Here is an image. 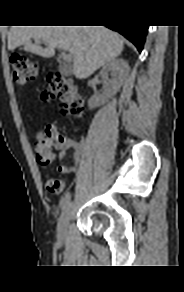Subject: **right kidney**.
Masks as SVG:
<instances>
[{"mask_svg": "<svg viewBox=\"0 0 184 292\" xmlns=\"http://www.w3.org/2000/svg\"><path fill=\"white\" fill-rule=\"evenodd\" d=\"M129 71L128 62L124 59L117 58L107 62L99 73L103 81V94L100 97L90 98L89 108L94 109L113 97L120 90ZM109 74L111 79H109Z\"/></svg>", "mask_w": 184, "mask_h": 292, "instance_id": "right-kidney-1", "label": "right kidney"}]
</instances>
